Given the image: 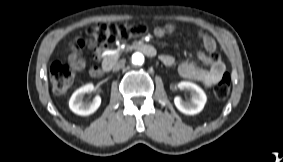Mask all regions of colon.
<instances>
[{
	"mask_svg": "<svg viewBox=\"0 0 283 162\" xmlns=\"http://www.w3.org/2000/svg\"><path fill=\"white\" fill-rule=\"evenodd\" d=\"M147 27L143 24H107L99 23L89 27L87 35L100 43H109L117 39H129L131 37L145 34ZM75 69L64 62H55L50 68V81L53 91L56 94L66 92L72 85ZM231 79L228 74H224L214 88L215 96L218 99H225L230 92Z\"/></svg>",
	"mask_w": 283,
	"mask_h": 162,
	"instance_id": "colon-1",
	"label": "colon"
}]
</instances>
